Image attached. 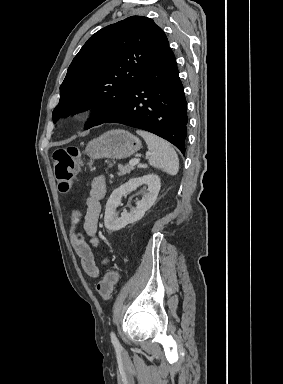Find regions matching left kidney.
Here are the masks:
<instances>
[{
	"mask_svg": "<svg viewBox=\"0 0 283 384\" xmlns=\"http://www.w3.org/2000/svg\"><path fill=\"white\" fill-rule=\"evenodd\" d=\"M139 186H144V194L140 202H136V208L130 210V214L122 212L121 218L116 214V208L122 206L121 198L128 194V192H134ZM161 188L160 178L156 174H148V176H142V178H131L126 184H122L120 188L112 192L105 210L104 224L105 228L109 232H117L122 230L127 224H134L143 218L145 212L150 210L153 206Z\"/></svg>",
	"mask_w": 283,
	"mask_h": 384,
	"instance_id": "obj_1",
	"label": "left kidney"
}]
</instances>
